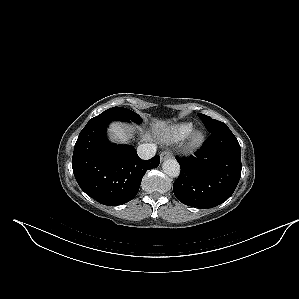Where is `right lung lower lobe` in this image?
<instances>
[{"label": "right lung lower lobe", "instance_id": "1", "mask_svg": "<svg viewBox=\"0 0 299 299\" xmlns=\"http://www.w3.org/2000/svg\"><path fill=\"white\" fill-rule=\"evenodd\" d=\"M112 121H126L101 113L82 129L74 147L72 168L80 188L101 204L115 206L132 200L147 170L158 167L160 157H138L132 145L110 143L106 128Z\"/></svg>", "mask_w": 299, "mask_h": 299}]
</instances>
